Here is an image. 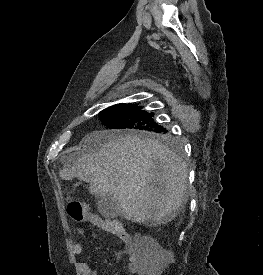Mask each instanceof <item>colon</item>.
<instances>
[{
    "label": "colon",
    "instance_id": "1",
    "mask_svg": "<svg viewBox=\"0 0 263 275\" xmlns=\"http://www.w3.org/2000/svg\"><path fill=\"white\" fill-rule=\"evenodd\" d=\"M69 216L77 222H96L97 217L80 202H72L68 205ZM107 232L116 235L125 243H130L131 237L125 226L119 221H110L105 229ZM164 263V254L159 249H154L146 256V275H156L159 267Z\"/></svg>",
    "mask_w": 263,
    "mask_h": 275
}]
</instances>
